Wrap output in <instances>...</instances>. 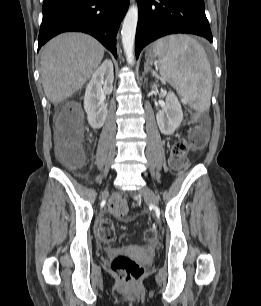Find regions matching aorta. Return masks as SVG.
<instances>
[{
  "instance_id": "762f6f07",
  "label": "aorta",
  "mask_w": 261,
  "mask_h": 306,
  "mask_svg": "<svg viewBox=\"0 0 261 306\" xmlns=\"http://www.w3.org/2000/svg\"><path fill=\"white\" fill-rule=\"evenodd\" d=\"M138 22V7L133 5L129 8L123 24H122V45L126 54L128 64L134 63V40L136 34V27Z\"/></svg>"
}]
</instances>
